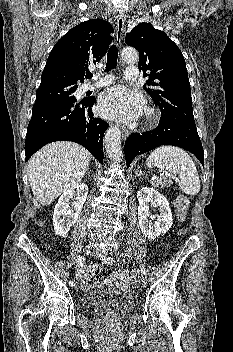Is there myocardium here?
<instances>
[{
	"mask_svg": "<svg viewBox=\"0 0 233 352\" xmlns=\"http://www.w3.org/2000/svg\"><path fill=\"white\" fill-rule=\"evenodd\" d=\"M156 118H157L156 111L152 108H148L145 116L146 122L152 123L156 120Z\"/></svg>",
	"mask_w": 233,
	"mask_h": 352,
	"instance_id": "myocardium-1",
	"label": "myocardium"
}]
</instances>
